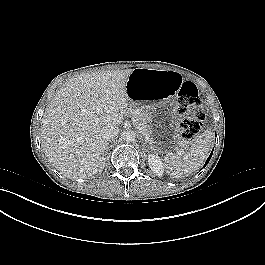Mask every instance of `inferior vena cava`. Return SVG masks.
I'll return each mask as SVG.
<instances>
[{"label": "inferior vena cava", "instance_id": "obj_1", "mask_svg": "<svg viewBox=\"0 0 265 265\" xmlns=\"http://www.w3.org/2000/svg\"><path fill=\"white\" fill-rule=\"evenodd\" d=\"M119 133V128L117 126H106L101 130V137L104 140H109L115 138Z\"/></svg>", "mask_w": 265, "mask_h": 265}]
</instances>
